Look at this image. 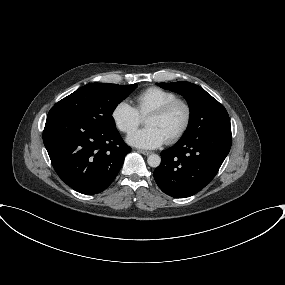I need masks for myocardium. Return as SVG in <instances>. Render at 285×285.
Listing matches in <instances>:
<instances>
[{"mask_svg":"<svg viewBox=\"0 0 285 285\" xmlns=\"http://www.w3.org/2000/svg\"><path fill=\"white\" fill-rule=\"evenodd\" d=\"M181 106L184 110V119L179 129L166 139L167 143H174L181 139L190 127L192 121V107L190 103L182 98H175L155 109L150 111L148 115L164 116L169 113L174 107ZM147 115V116H148Z\"/></svg>","mask_w":285,"mask_h":285,"instance_id":"f54148a6","label":"myocardium"}]
</instances>
